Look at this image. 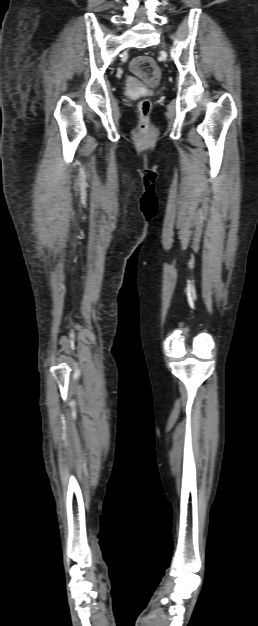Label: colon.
Instances as JSON below:
<instances>
[{
    "label": "colon",
    "mask_w": 258,
    "mask_h": 626,
    "mask_svg": "<svg viewBox=\"0 0 258 626\" xmlns=\"http://www.w3.org/2000/svg\"><path fill=\"white\" fill-rule=\"evenodd\" d=\"M131 71L135 76L150 86H155L161 76L157 63L149 56L136 57L131 63ZM138 107L141 114V128L147 129L151 102L148 99H143L139 102Z\"/></svg>",
    "instance_id": "1"
}]
</instances>
